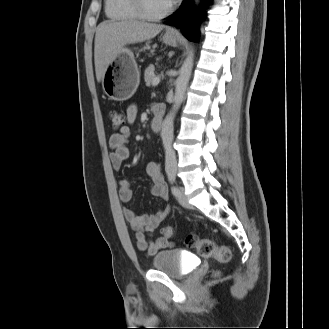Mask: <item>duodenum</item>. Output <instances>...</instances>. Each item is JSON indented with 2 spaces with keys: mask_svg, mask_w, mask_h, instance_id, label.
Listing matches in <instances>:
<instances>
[{
  "mask_svg": "<svg viewBox=\"0 0 329 329\" xmlns=\"http://www.w3.org/2000/svg\"><path fill=\"white\" fill-rule=\"evenodd\" d=\"M164 118V108L161 106H154L153 118L151 120V128L154 132H159L162 128Z\"/></svg>",
  "mask_w": 329,
  "mask_h": 329,
  "instance_id": "410a0bca",
  "label": "duodenum"
}]
</instances>
